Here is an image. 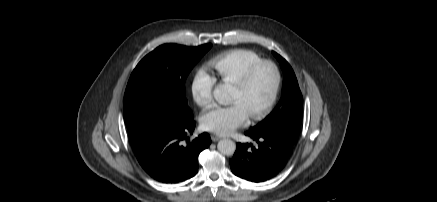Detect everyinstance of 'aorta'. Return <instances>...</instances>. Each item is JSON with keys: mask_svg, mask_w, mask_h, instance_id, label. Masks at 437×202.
<instances>
[{"mask_svg": "<svg viewBox=\"0 0 437 202\" xmlns=\"http://www.w3.org/2000/svg\"><path fill=\"white\" fill-rule=\"evenodd\" d=\"M233 88L228 84H219L213 90L214 98L221 104L231 101ZM217 148L223 155H231L235 152L236 144L230 139H222L218 142Z\"/></svg>", "mask_w": 437, "mask_h": 202, "instance_id": "obj_1", "label": "aorta"}]
</instances>
